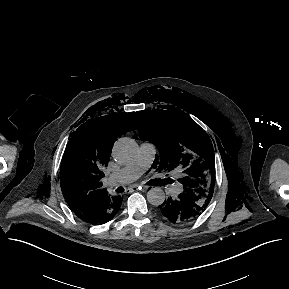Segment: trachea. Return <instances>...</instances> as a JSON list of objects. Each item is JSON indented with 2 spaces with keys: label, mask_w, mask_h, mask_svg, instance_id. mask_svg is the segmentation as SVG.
<instances>
[{
  "label": "trachea",
  "mask_w": 289,
  "mask_h": 289,
  "mask_svg": "<svg viewBox=\"0 0 289 289\" xmlns=\"http://www.w3.org/2000/svg\"><path fill=\"white\" fill-rule=\"evenodd\" d=\"M123 191H124V189L121 188V187H119V188L117 189V192H119V193H121V192H123Z\"/></svg>",
  "instance_id": "3493384b"
}]
</instances>
